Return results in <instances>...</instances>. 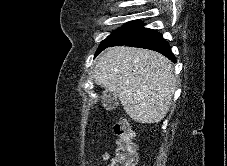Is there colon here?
<instances>
[{
  "mask_svg": "<svg viewBox=\"0 0 227 166\" xmlns=\"http://www.w3.org/2000/svg\"><path fill=\"white\" fill-rule=\"evenodd\" d=\"M116 148L109 166H134L136 152L134 130L126 120H119L114 126Z\"/></svg>",
  "mask_w": 227,
  "mask_h": 166,
  "instance_id": "5ec220e1",
  "label": "colon"
}]
</instances>
